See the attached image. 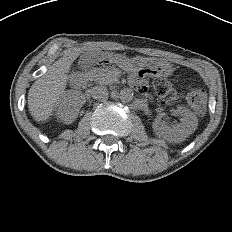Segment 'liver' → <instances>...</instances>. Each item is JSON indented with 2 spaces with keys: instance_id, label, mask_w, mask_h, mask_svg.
<instances>
[{
  "instance_id": "1",
  "label": "liver",
  "mask_w": 232,
  "mask_h": 232,
  "mask_svg": "<svg viewBox=\"0 0 232 232\" xmlns=\"http://www.w3.org/2000/svg\"><path fill=\"white\" fill-rule=\"evenodd\" d=\"M66 55L67 57L60 58L50 66L29 90V111L38 122H46L53 115L54 104L64 93L67 85V72L76 58V53L68 50Z\"/></svg>"
}]
</instances>
